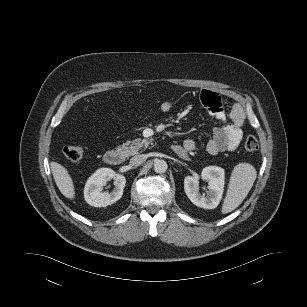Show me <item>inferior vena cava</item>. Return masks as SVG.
<instances>
[{"mask_svg": "<svg viewBox=\"0 0 307 307\" xmlns=\"http://www.w3.org/2000/svg\"><path fill=\"white\" fill-rule=\"evenodd\" d=\"M146 161L145 155H136L130 159L131 166H139Z\"/></svg>", "mask_w": 307, "mask_h": 307, "instance_id": "obj_1", "label": "inferior vena cava"}]
</instances>
